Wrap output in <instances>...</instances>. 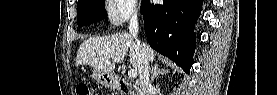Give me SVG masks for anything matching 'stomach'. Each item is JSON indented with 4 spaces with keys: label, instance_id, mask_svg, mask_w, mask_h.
I'll return each mask as SVG.
<instances>
[{
    "label": "stomach",
    "instance_id": "1",
    "mask_svg": "<svg viewBox=\"0 0 277 95\" xmlns=\"http://www.w3.org/2000/svg\"><path fill=\"white\" fill-rule=\"evenodd\" d=\"M93 78L105 87H114L115 81L111 73H105L98 71L96 69L93 70Z\"/></svg>",
    "mask_w": 277,
    "mask_h": 95
}]
</instances>
